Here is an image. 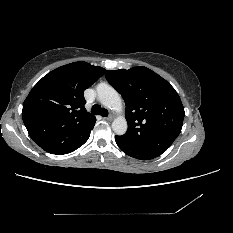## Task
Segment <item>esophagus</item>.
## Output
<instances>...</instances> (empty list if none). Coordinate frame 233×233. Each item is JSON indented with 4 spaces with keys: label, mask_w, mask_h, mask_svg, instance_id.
<instances>
[{
    "label": "esophagus",
    "mask_w": 233,
    "mask_h": 233,
    "mask_svg": "<svg viewBox=\"0 0 233 233\" xmlns=\"http://www.w3.org/2000/svg\"><path fill=\"white\" fill-rule=\"evenodd\" d=\"M115 117V114L114 113H111L108 117H106L105 119L108 120V121H111L113 120V118Z\"/></svg>",
    "instance_id": "esophagus-1"
}]
</instances>
